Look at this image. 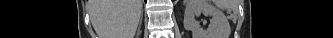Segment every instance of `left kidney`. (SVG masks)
Segmentation results:
<instances>
[{
    "instance_id": "obj_1",
    "label": "left kidney",
    "mask_w": 333,
    "mask_h": 38,
    "mask_svg": "<svg viewBox=\"0 0 333 38\" xmlns=\"http://www.w3.org/2000/svg\"><path fill=\"white\" fill-rule=\"evenodd\" d=\"M202 13L212 17L207 29L197 20ZM184 27L192 31L193 38H229L231 33L225 14L209 0H187Z\"/></svg>"
}]
</instances>
